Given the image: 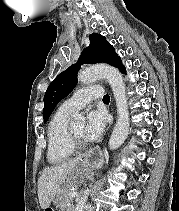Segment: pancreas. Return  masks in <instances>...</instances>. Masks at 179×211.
Instances as JSON below:
<instances>
[{"label": "pancreas", "mask_w": 179, "mask_h": 211, "mask_svg": "<svg viewBox=\"0 0 179 211\" xmlns=\"http://www.w3.org/2000/svg\"><path fill=\"white\" fill-rule=\"evenodd\" d=\"M70 189L64 188L60 193L57 194L55 205L57 208H60V211H65L68 204L73 202V197L69 196ZM66 211H72L71 208Z\"/></svg>", "instance_id": "1"}]
</instances>
